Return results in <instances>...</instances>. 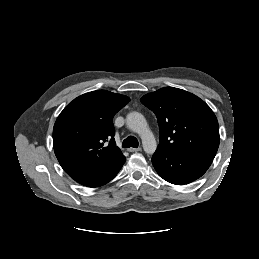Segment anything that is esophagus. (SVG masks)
Segmentation results:
<instances>
[{
	"label": "esophagus",
	"instance_id": "1",
	"mask_svg": "<svg viewBox=\"0 0 259 259\" xmlns=\"http://www.w3.org/2000/svg\"><path fill=\"white\" fill-rule=\"evenodd\" d=\"M142 149L139 147V148H129L128 151L129 152H138V151H141Z\"/></svg>",
	"mask_w": 259,
	"mask_h": 259
}]
</instances>
